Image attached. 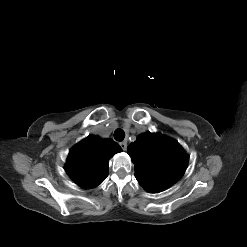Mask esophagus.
I'll return each mask as SVG.
<instances>
[{"label":"esophagus","instance_id":"1","mask_svg":"<svg viewBox=\"0 0 247 247\" xmlns=\"http://www.w3.org/2000/svg\"><path fill=\"white\" fill-rule=\"evenodd\" d=\"M119 145H120V147L122 148V150L125 151V150L127 149V143H126L125 141L120 142Z\"/></svg>","mask_w":247,"mask_h":247}]
</instances>
